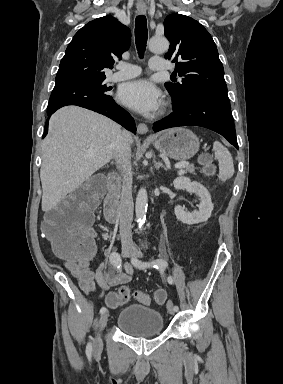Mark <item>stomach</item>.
<instances>
[{
  "instance_id": "obj_1",
  "label": "stomach",
  "mask_w": 283,
  "mask_h": 384,
  "mask_svg": "<svg viewBox=\"0 0 283 384\" xmlns=\"http://www.w3.org/2000/svg\"><path fill=\"white\" fill-rule=\"evenodd\" d=\"M148 140L153 142L155 148L173 160H189L199 150V140L193 132L185 128H173L166 130L160 138L149 136Z\"/></svg>"
}]
</instances>
